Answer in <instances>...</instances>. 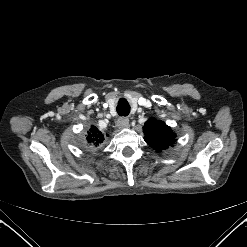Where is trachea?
<instances>
[{"label": "trachea", "mask_w": 247, "mask_h": 247, "mask_svg": "<svg viewBox=\"0 0 247 247\" xmlns=\"http://www.w3.org/2000/svg\"><path fill=\"white\" fill-rule=\"evenodd\" d=\"M116 110L120 116H127L130 113V106L125 99H121Z\"/></svg>", "instance_id": "obj_1"}]
</instances>
